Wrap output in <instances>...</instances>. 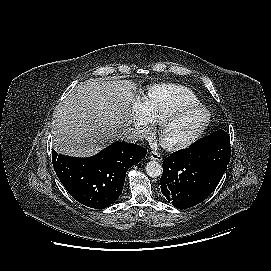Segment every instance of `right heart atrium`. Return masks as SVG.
Returning <instances> with one entry per match:
<instances>
[{"label":"right heart atrium","mask_w":271,"mask_h":271,"mask_svg":"<svg viewBox=\"0 0 271 271\" xmlns=\"http://www.w3.org/2000/svg\"><path fill=\"white\" fill-rule=\"evenodd\" d=\"M133 124L138 134L145 135L150 131L151 123L146 118L143 109V99H140L136 105L135 114L133 117Z\"/></svg>","instance_id":"obj_1"}]
</instances>
